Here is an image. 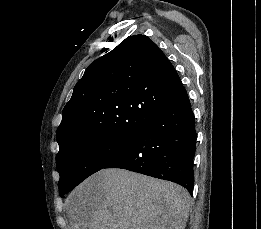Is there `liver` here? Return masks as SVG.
Returning a JSON list of instances; mask_svg holds the SVG:
<instances>
[{"label":"liver","mask_w":261,"mask_h":229,"mask_svg":"<svg viewBox=\"0 0 261 229\" xmlns=\"http://www.w3.org/2000/svg\"><path fill=\"white\" fill-rule=\"evenodd\" d=\"M72 229H185L186 189L125 169H102L65 201Z\"/></svg>","instance_id":"1"}]
</instances>
